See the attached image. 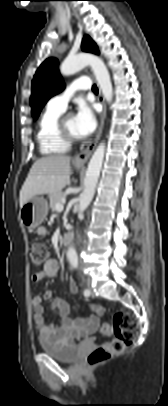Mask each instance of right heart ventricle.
I'll return each instance as SVG.
<instances>
[{"mask_svg": "<svg viewBox=\"0 0 168 406\" xmlns=\"http://www.w3.org/2000/svg\"><path fill=\"white\" fill-rule=\"evenodd\" d=\"M63 112L47 106L40 117L36 139L43 155L65 153L70 148V144L60 137L57 130V121Z\"/></svg>", "mask_w": 168, "mask_h": 406, "instance_id": "1", "label": "right heart ventricle"}]
</instances>
